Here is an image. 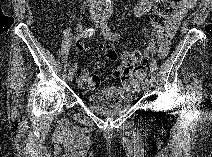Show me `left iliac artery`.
<instances>
[{"mask_svg":"<svg viewBox=\"0 0 212 157\" xmlns=\"http://www.w3.org/2000/svg\"><path fill=\"white\" fill-rule=\"evenodd\" d=\"M109 17H110L109 14L104 15L103 20L101 22V32L105 38L110 39V40H117L120 37V35L117 33H115V34L112 33L110 31L109 27L107 26V21H108ZM143 83L152 85V81L148 77L144 78Z\"/></svg>","mask_w":212,"mask_h":157,"instance_id":"obj_1","label":"left iliac artery"}]
</instances>
